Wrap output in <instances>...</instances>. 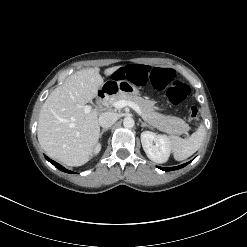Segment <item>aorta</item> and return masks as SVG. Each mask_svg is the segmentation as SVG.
I'll return each mask as SVG.
<instances>
[{"label":"aorta","mask_w":247,"mask_h":247,"mask_svg":"<svg viewBox=\"0 0 247 247\" xmlns=\"http://www.w3.org/2000/svg\"><path fill=\"white\" fill-rule=\"evenodd\" d=\"M134 125H135V121H134V119L131 118V117H126V118L124 119V121H123V126H124L125 128H133Z\"/></svg>","instance_id":"762f6f07"}]
</instances>
